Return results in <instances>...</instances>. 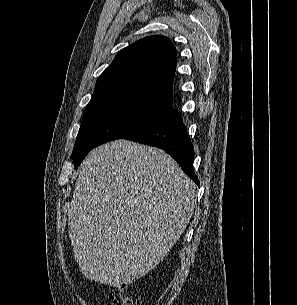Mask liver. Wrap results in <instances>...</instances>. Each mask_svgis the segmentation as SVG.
<instances>
[{
  "instance_id": "liver-1",
  "label": "liver",
  "mask_w": 297,
  "mask_h": 305,
  "mask_svg": "<svg viewBox=\"0 0 297 305\" xmlns=\"http://www.w3.org/2000/svg\"><path fill=\"white\" fill-rule=\"evenodd\" d=\"M196 201L194 182L163 150L123 139L94 149L68 209L82 274L110 287L145 276L180 238Z\"/></svg>"
}]
</instances>
